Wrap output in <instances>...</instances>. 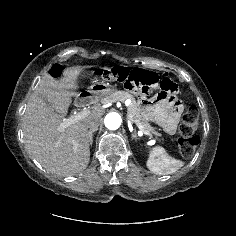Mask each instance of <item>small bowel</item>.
Wrapping results in <instances>:
<instances>
[{"label":"small bowel","mask_w":236,"mask_h":236,"mask_svg":"<svg viewBox=\"0 0 236 236\" xmlns=\"http://www.w3.org/2000/svg\"><path fill=\"white\" fill-rule=\"evenodd\" d=\"M163 79L169 80L166 77ZM143 108L147 119L159 125L167 134L175 133L182 109L174 100L161 94L154 102L145 101Z\"/></svg>","instance_id":"obj_1"}]
</instances>
